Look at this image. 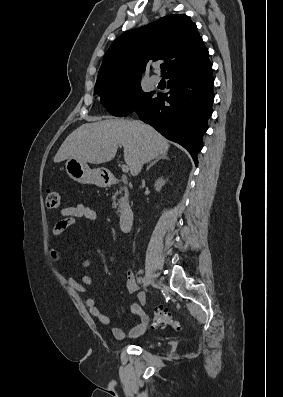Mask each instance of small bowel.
<instances>
[{"mask_svg":"<svg viewBox=\"0 0 283 397\" xmlns=\"http://www.w3.org/2000/svg\"><path fill=\"white\" fill-rule=\"evenodd\" d=\"M59 216L60 219L53 225L52 228V235L55 237L63 234L69 227L73 226L76 220L79 218H84L91 221L96 220L97 212L84 203L77 202L75 205L62 208L59 211ZM49 257L55 265L61 263L62 261V254L57 248H51L49 250ZM91 264V261L88 259H85L81 262V266L83 268H88L91 266ZM68 284L78 292H85L87 290V286L94 284V279L87 275L82 276L79 280L69 277ZM126 288L130 294L138 293L137 301L132 303L130 309L133 314L139 317L140 322L129 332H126L121 327H114L112 329V333L114 337L119 340H123L125 338H136L140 336L144 332L148 323V316L143 310L146 302V295L143 292H139L140 287L136 282L134 273L131 270H127L126 272ZM85 305L90 315L96 318L100 323L104 325H111V318L101 312L95 298H86Z\"/></svg>","mask_w":283,"mask_h":397,"instance_id":"c3829d8e","label":"small bowel"}]
</instances>
